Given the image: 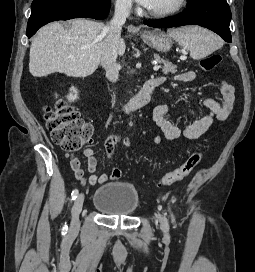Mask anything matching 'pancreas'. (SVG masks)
<instances>
[{"mask_svg": "<svg viewBox=\"0 0 255 272\" xmlns=\"http://www.w3.org/2000/svg\"><path fill=\"white\" fill-rule=\"evenodd\" d=\"M155 58L163 65L162 72L167 75L169 73L174 74L177 72V67L173 65L169 60L163 59L159 57V55H155Z\"/></svg>", "mask_w": 255, "mask_h": 272, "instance_id": "1", "label": "pancreas"}]
</instances>
